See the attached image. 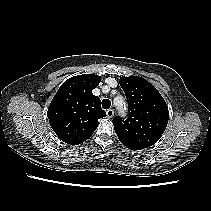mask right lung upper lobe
Instances as JSON below:
<instances>
[{
  "instance_id": "obj_1",
  "label": "right lung upper lobe",
  "mask_w": 211,
  "mask_h": 211,
  "mask_svg": "<svg viewBox=\"0 0 211 211\" xmlns=\"http://www.w3.org/2000/svg\"><path fill=\"white\" fill-rule=\"evenodd\" d=\"M101 77L83 74L66 80L58 89L48 108L49 123L56 135L65 143L81 144L98 126V119L105 117L100 99L92 94Z\"/></svg>"
}]
</instances>
